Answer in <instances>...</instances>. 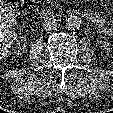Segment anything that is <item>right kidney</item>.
I'll return each mask as SVG.
<instances>
[{
    "mask_svg": "<svg viewBox=\"0 0 113 113\" xmlns=\"http://www.w3.org/2000/svg\"><path fill=\"white\" fill-rule=\"evenodd\" d=\"M26 47H27V42L26 41H24L22 43H17V45L14 47V51L18 55H20V54H22L26 51Z\"/></svg>",
    "mask_w": 113,
    "mask_h": 113,
    "instance_id": "right-kidney-1",
    "label": "right kidney"
}]
</instances>
